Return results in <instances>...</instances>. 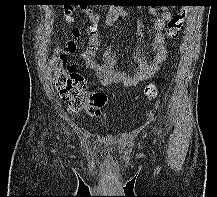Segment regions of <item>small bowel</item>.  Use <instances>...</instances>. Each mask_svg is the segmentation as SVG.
<instances>
[{
	"instance_id": "small-bowel-1",
	"label": "small bowel",
	"mask_w": 217,
	"mask_h": 197,
	"mask_svg": "<svg viewBox=\"0 0 217 197\" xmlns=\"http://www.w3.org/2000/svg\"><path fill=\"white\" fill-rule=\"evenodd\" d=\"M168 6L167 4L155 5L150 8L149 13L151 15H156L157 13L161 15L154 23L156 30L152 41L154 55L152 59L148 61L141 55L139 50H135L134 60L137 67L131 75H127L123 70L116 69L117 56L109 47H106L103 51V61H96L97 51L101 45V39L96 28L97 23L100 21V16L87 7L81 8L83 14L91 20L92 24L86 30L88 36L87 48L81 53L80 58L88 68L95 72L103 86L121 84L126 88L135 87L141 82L151 78L159 70L167 54L163 30L171 18V12L168 10ZM126 15L127 13L124 9L115 7L108 11L104 17V22L106 25L111 26L117 23L121 18L126 17ZM63 16L67 23H73L75 20L74 9L71 6H66L63 10ZM142 26L143 20L139 18L137 20V34L139 36L142 35ZM78 35L79 31L74 29L72 31V39L68 44L71 54H75L77 51L75 39Z\"/></svg>"
}]
</instances>
